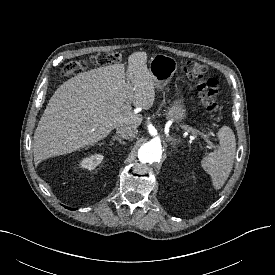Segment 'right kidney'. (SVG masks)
<instances>
[{"label":"right kidney","mask_w":275,"mask_h":275,"mask_svg":"<svg viewBox=\"0 0 275 275\" xmlns=\"http://www.w3.org/2000/svg\"><path fill=\"white\" fill-rule=\"evenodd\" d=\"M102 160H103V155L94 154L84 158L81 161V167L88 170H93L96 166H98L101 163Z\"/></svg>","instance_id":"obj_1"}]
</instances>
